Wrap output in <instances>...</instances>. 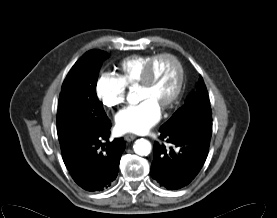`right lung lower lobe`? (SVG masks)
Listing matches in <instances>:
<instances>
[{"label":"right lung lower lobe","instance_id":"98d812e1","mask_svg":"<svg viewBox=\"0 0 277 218\" xmlns=\"http://www.w3.org/2000/svg\"><path fill=\"white\" fill-rule=\"evenodd\" d=\"M111 122L62 153L63 161L74 181L87 191L108 188L119 170L125 150L124 140H108Z\"/></svg>","mask_w":277,"mask_h":218}]
</instances>
